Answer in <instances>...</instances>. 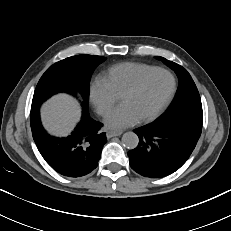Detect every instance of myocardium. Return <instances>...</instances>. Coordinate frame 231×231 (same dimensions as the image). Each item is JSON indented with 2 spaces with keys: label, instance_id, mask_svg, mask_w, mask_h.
<instances>
[{
  "label": "myocardium",
  "instance_id": "obj_1",
  "mask_svg": "<svg viewBox=\"0 0 231 231\" xmlns=\"http://www.w3.org/2000/svg\"><path fill=\"white\" fill-rule=\"evenodd\" d=\"M159 72H163V73H167L168 75H170L171 79H172V88L170 93L168 94V96L166 97V99L163 101V103L150 115L140 118L139 122L141 123H147L150 122L154 119H156L164 110L165 108L169 105V103L171 102V100L173 99L176 90H177V80L175 75L168 69L165 68H156L146 74H144L143 76H141L133 85H131L121 96V100H123L125 97L130 96L132 94H134L135 92H137L142 86L143 84L154 74L159 73Z\"/></svg>",
  "mask_w": 231,
  "mask_h": 231
}]
</instances>
